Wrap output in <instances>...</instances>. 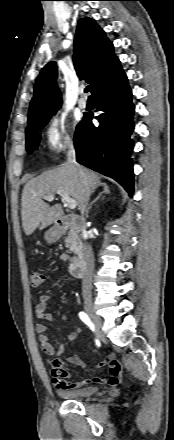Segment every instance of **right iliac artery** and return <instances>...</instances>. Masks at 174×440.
Instances as JSON below:
<instances>
[{"mask_svg": "<svg viewBox=\"0 0 174 440\" xmlns=\"http://www.w3.org/2000/svg\"><path fill=\"white\" fill-rule=\"evenodd\" d=\"M79 317H80V319H81L85 324H87L90 328L93 327V323L91 322L90 318L88 317V315H87L86 313H84V312H80V313H79Z\"/></svg>", "mask_w": 174, "mask_h": 440, "instance_id": "82829eb1", "label": "right iliac artery"}]
</instances>
